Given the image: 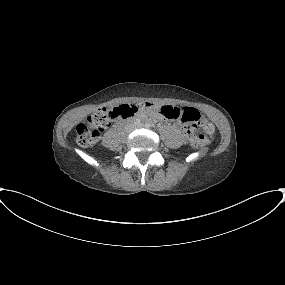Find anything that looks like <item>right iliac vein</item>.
Returning a JSON list of instances; mask_svg holds the SVG:
<instances>
[{"mask_svg": "<svg viewBox=\"0 0 285 285\" xmlns=\"http://www.w3.org/2000/svg\"><path fill=\"white\" fill-rule=\"evenodd\" d=\"M125 130H126V132H130L132 130V128L131 127H127Z\"/></svg>", "mask_w": 285, "mask_h": 285, "instance_id": "63e3f726", "label": "right iliac vein"}]
</instances>
